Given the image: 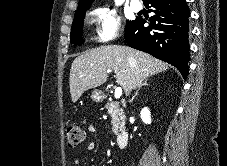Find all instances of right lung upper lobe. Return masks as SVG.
Segmentation results:
<instances>
[{
  "instance_id": "right-lung-upper-lobe-1",
  "label": "right lung upper lobe",
  "mask_w": 227,
  "mask_h": 166,
  "mask_svg": "<svg viewBox=\"0 0 227 166\" xmlns=\"http://www.w3.org/2000/svg\"><path fill=\"white\" fill-rule=\"evenodd\" d=\"M93 1L94 0H79V4H78L77 10L88 9L90 7V4ZM143 1L145 2L146 0H143Z\"/></svg>"
}]
</instances>
